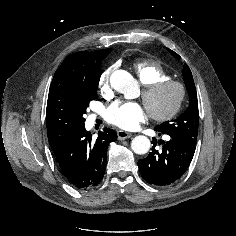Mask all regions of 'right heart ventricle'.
Wrapping results in <instances>:
<instances>
[{
	"label": "right heart ventricle",
	"instance_id": "right-heart-ventricle-1",
	"mask_svg": "<svg viewBox=\"0 0 236 236\" xmlns=\"http://www.w3.org/2000/svg\"><path fill=\"white\" fill-rule=\"evenodd\" d=\"M139 81L147 86L153 82L170 79V75L161 62L157 60H142L134 66Z\"/></svg>",
	"mask_w": 236,
	"mask_h": 236
}]
</instances>
